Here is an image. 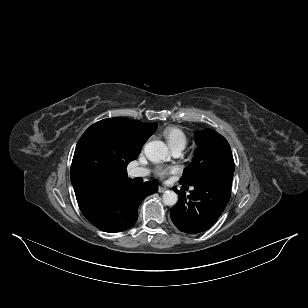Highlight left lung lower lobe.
<instances>
[{
  "mask_svg": "<svg viewBox=\"0 0 308 308\" xmlns=\"http://www.w3.org/2000/svg\"><path fill=\"white\" fill-rule=\"evenodd\" d=\"M234 171H220L208 175L190 185L194 190L186 198L179 194L177 204L171 209L170 216L174 225L182 232L194 234L208 230L215 224L224 211L231 195Z\"/></svg>",
  "mask_w": 308,
  "mask_h": 308,
  "instance_id": "0a47b994",
  "label": "left lung lower lobe"
}]
</instances>
